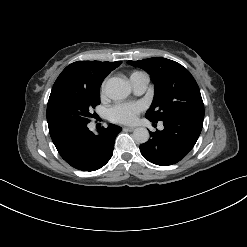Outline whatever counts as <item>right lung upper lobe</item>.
<instances>
[{
  "label": "right lung upper lobe",
  "instance_id": "cb5924a9",
  "mask_svg": "<svg viewBox=\"0 0 247 247\" xmlns=\"http://www.w3.org/2000/svg\"><path fill=\"white\" fill-rule=\"evenodd\" d=\"M121 64L116 62L77 61L68 65L56 79L53 88L64 84L99 88L103 79Z\"/></svg>",
  "mask_w": 247,
  "mask_h": 247
}]
</instances>
